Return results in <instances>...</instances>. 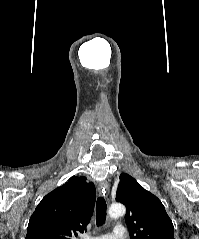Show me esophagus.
Instances as JSON below:
<instances>
[{
    "instance_id": "esophagus-1",
    "label": "esophagus",
    "mask_w": 199,
    "mask_h": 239,
    "mask_svg": "<svg viewBox=\"0 0 199 239\" xmlns=\"http://www.w3.org/2000/svg\"><path fill=\"white\" fill-rule=\"evenodd\" d=\"M99 193L106 196L109 193V184L107 181H102L98 187Z\"/></svg>"
}]
</instances>
